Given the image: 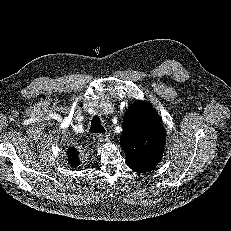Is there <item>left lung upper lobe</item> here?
Listing matches in <instances>:
<instances>
[{"instance_id": "5c2ea615", "label": "left lung upper lobe", "mask_w": 231, "mask_h": 231, "mask_svg": "<svg viewBox=\"0 0 231 231\" xmlns=\"http://www.w3.org/2000/svg\"><path fill=\"white\" fill-rule=\"evenodd\" d=\"M120 144L128 166L136 172H149L161 160L165 130L159 115L147 103L137 101L126 111Z\"/></svg>"}]
</instances>
